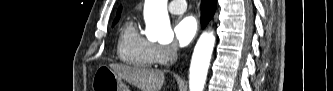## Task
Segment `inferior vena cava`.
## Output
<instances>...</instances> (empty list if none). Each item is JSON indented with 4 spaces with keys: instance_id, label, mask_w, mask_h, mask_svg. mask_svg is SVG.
Wrapping results in <instances>:
<instances>
[{
    "instance_id": "602c4592",
    "label": "inferior vena cava",
    "mask_w": 333,
    "mask_h": 91,
    "mask_svg": "<svg viewBox=\"0 0 333 91\" xmlns=\"http://www.w3.org/2000/svg\"><path fill=\"white\" fill-rule=\"evenodd\" d=\"M178 59V45L172 43L170 46L169 66L173 65Z\"/></svg>"
}]
</instances>
